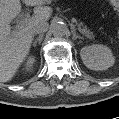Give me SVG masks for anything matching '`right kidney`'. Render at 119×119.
Masks as SVG:
<instances>
[{
  "instance_id": "1",
  "label": "right kidney",
  "mask_w": 119,
  "mask_h": 119,
  "mask_svg": "<svg viewBox=\"0 0 119 119\" xmlns=\"http://www.w3.org/2000/svg\"><path fill=\"white\" fill-rule=\"evenodd\" d=\"M34 63H35V58L33 56H30L25 64L26 70H31L33 68Z\"/></svg>"
}]
</instances>
